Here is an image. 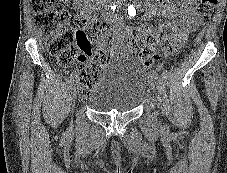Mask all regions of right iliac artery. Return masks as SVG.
Masks as SVG:
<instances>
[{
    "mask_svg": "<svg viewBox=\"0 0 227 173\" xmlns=\"http://www.w3.org/2000/svg\"><path fill=\"white\" fill-rule=\"evenodd\" d=\"M75 74H70L69 77L66 80L67 87L71 88L73 82H74Z\"/></svg>",
    "mask_w": 227,
    "mask_h": 173,
    "instance_id": "1",
    "label": "right iliac artery"
}]
</instances>
